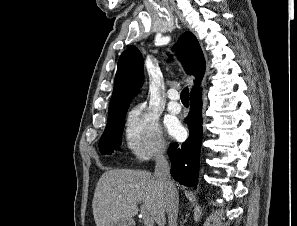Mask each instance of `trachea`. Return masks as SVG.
<instances>
[{"label":"trachea","instance_id":"3493384b","mask_svg":"<svg viewBox=\"0 0 297 226\" xmlns=\"http://www.w3.org/2000/svg\"><path fill=\"white\" fill-rule=\"evenodd\" d=\"M189 90H188V87H185L182 92H181V101L183 104H188L189 103Z\"/></svg>","mask_w":297,"mask_h":226}]
</instances>
